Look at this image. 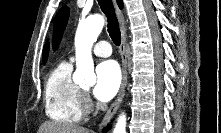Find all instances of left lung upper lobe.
Here are the masks:
<instances>
[{
	"label": "left lung upper lobe",
	"instance_id": "5c2ea615",
	"mask_svg": "<svg viewBox=\"0 0 221 133\" xmlns=\"http://www.w3.org/2000/svg\"><path fill=\"white\" fill-rule=\"evenodd\" d=\"M68 17H69V8L67 6L62 7L55 17L54 27H53V49L54 50L58 47L62 39V35L66 27Z\"/></svg>",
	"mask_w": 221,
	"mask_h": 133
}]
</instances>
